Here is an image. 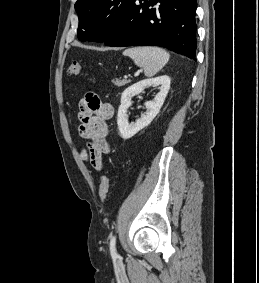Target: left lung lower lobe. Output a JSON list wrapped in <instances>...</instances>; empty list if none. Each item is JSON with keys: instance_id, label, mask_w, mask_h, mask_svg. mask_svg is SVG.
<instances>
[{"instance_id": "obj_1", "label": "left lung lower lobe", "mask_w": 259, "mask_h": 283, "mask_svg": "<svg viewBox=\"0 0 259 283\" xmlns=\"http://www.w3.org/2000/svg\"><path fill=\"white\" fill-rule=\"evenodd\" d=\"M197 0H133L122 23L104 43L161 46L195 59Z\"/></svg>"}]
</instances>
